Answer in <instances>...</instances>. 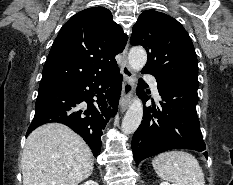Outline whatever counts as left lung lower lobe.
<instances>
[{
    "label": "left lung lower lobe",
    "instance_id": "obj_1",
    "mask_svg": "<svg viewBox=\"0 0 233 185\" xmlns=\"http://www.w3.org/2000/svg\"><path fill=\"white\" fill-rule=\"evenodd\" d=\"M157 84L162 98L161 108H144L142 123L132 138L136 165L145 158L170 149H192L203 152L207 157L196 112L198 83L189 80H157ZM140 85L138 94L146 102L148 98L143 90L144 81L140 80Z\"/></svg>",
    "mask_w": 233,
    "mask_h": 185
}]
</instances>
